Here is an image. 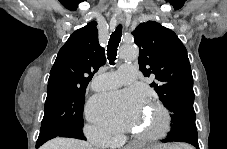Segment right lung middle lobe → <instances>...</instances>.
Instances as JSON below:
<instances>
[{
  "instance_id": "right-lung-middle-lobe-1",
  "label": "right lung middle lobe",
  "mask_w": 227,
  "mask_h": 149,
  "mask_svg": "<svg viewBox=\"0 0 227 149\" xmlns=\"http://www.w3.org/2000/svg\"><path fill=\"white\" fill-rule=\"evenodd\" d=\"M85 89H58L47 92L41 131L83 127Z\"/></svg>"
}]
</instances>
